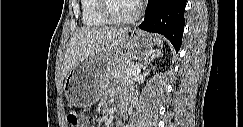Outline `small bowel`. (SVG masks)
Returning a JSON list of instances; mask_svg holds the SVG:
<instances>
[{"instance_id": "1", "label": "small bowel", "mask_w": 243, "mask_h": 127, "mask_svg": "<svg viewBox=\"0 0 243 127\" xmlns=\"http://www.w3.org/2000/svg\"><path fill=\"white\" fill-rule=\"evenodd\" d=\"M124 95H129L127 90H124ZM84 126H89V119L87 117L84 118Z\"/></svg>"}]
</instances>
